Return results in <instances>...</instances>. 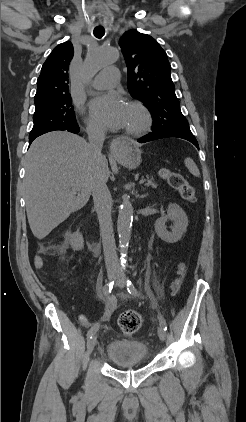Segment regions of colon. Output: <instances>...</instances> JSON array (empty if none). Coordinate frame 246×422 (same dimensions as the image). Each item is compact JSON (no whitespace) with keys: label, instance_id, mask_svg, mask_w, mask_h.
<instances>
[{"label":"colon","instance_id":"1","mask_svg":"<svg viewBox=\"0 0 246 422\" xmlns=\"http://www.w3.org/2000/svg\"><path fill=\"white\" fill-rule=\"evenodd\" d=\"M159 174L168 181L169 185L174 188L185 201H195V190L193 186H191L180 173L172 172L167 169H160ZM184 272L185 266L181 265L179 278L174 283L175 291L180 288ZM118 325L124 333L134 334L139 331L142 326V317L136 311L127 310L120 315Z\"/></svg>","mask_w":246,"mask_h":422}]
</instances>
